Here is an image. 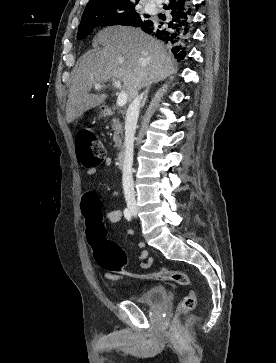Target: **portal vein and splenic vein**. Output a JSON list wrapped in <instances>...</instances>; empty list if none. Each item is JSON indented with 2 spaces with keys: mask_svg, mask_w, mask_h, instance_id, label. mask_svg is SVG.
I'll return each mask as SVG.
<instances>
[{
  "mask_svg": "<svg viewBox=\"0 0 276 363\" xmlns=\"http://www.w3.org/2000/svg\"><path fill=\"white\" fill-rule=\"evenodd\" d=\"M112 85L118 89H120V93L118 95V98H117V105L118 107H123L126 105L127 103V94L126 92L122 89V85H121V82L119 80H113L112 81ZM103 87V85L101 84H97L95 86V89H101Z\"/></svg>",
  "mask_w": 276,
  "mask_h": 363,
  "instance_id": "obj_1",
  "label": "portal vein and splenic vein"
}]
</instances>
